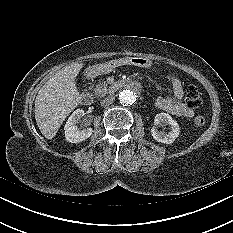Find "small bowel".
I'll return each mask as SVG.
<instances>
[{
	"mask_svg": "<svg viewBox=\"0 0 233 233\" xmlns=\"http://www.w3.org/2000/svg\"><path fill=\"white\" fill-rule=\"evenodd\" d=\"M168 79L172 84V97L159 96L155 101V106L169 114L191 118L194 115L193 110L183 102V85L175 75H168Z\"/></svg>",
	"mask_w": 233,
	"mask_h": 233,
	"instance_id": "small-bowel-1",
	"label": "small bowel"
}]
</instances>
